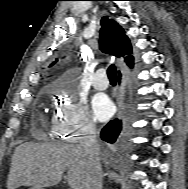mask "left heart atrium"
I'll return each mask as SVG.
<instances>
[{
	"instance_id": "39dd6f15",
	"label": "left heart atrium",
	"mask_w": 188,
	"mask_h": 189,
	"mask_svg": "<svg viewBox=\"0 0 188 189\" xmlns=\"http://www.w3.org/2000/svg\"><path fill=\"white\" fill-rule=\"evenodd\" d=\"M92 110L98 120L106 121L112 116L114 107L106 95L97 94L92 99Z\"/></svg>"
}]
</instances>
